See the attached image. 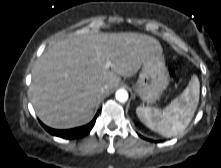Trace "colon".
Returning <instances> with one entry per match:
<instances>
[{
	"label": "colon",
	"instance_id": "colon-1",
	"mask_svg": "<svg viewBox=\"0 0 221 168\" xmlns=\"http://www.w3.org/2000/svg\"><path fill=\"white\" fill-rule=\"evenodd\" d=\"M176 74V68L175 67H170L169 68V75L173 77Z\"/></svg>",
	"mask_w": 221,
	"mask_h": 168
}]
</instances>
